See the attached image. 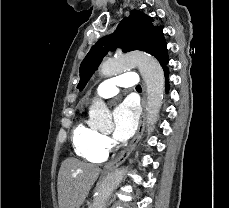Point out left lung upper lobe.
<instances>
[{"label": "left lung upper lobe", "mask_w": 229, "mask_h": 208, "mask_svg": "<svg viewBox=\"0 0 229 208\" xmlns=\"http://www.w3.org/2000/svg\"><path fill=\"white\" fill-rule=\"evenodd\" d=\"M121 47L123 52L141 50L153 55L160 64L168 60L163 30L153 25V19L140 11H132L124 18L112 36H105L90 49L80 65L81 91L107 52Z\"/></svg>", "instance_id": "left-lung-upper-lobe-1"}]
</instances>
